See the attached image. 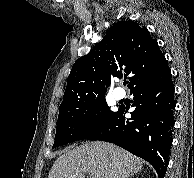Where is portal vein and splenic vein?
Here are the masks:
<instances>
[{"label":"portal vein and splenic vein","instance_id":"1","mask_svg":"<svg viewBox=\"0 0 194 178\" xmlns=\"http://www.w3.org/2000/svg\"><path fill=\"white\" fill-rule=\"evenodd\" d=\"M74 178H85V176L84 175H77Z\"/></svg>","mask_w":194,"mask_h":178}]
</instances>
